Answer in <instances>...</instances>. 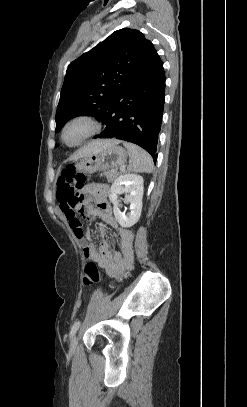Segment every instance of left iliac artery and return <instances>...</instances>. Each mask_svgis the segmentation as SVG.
Returning <instances> with one entry per match:
<instances>
[{"instance_id": "left-iliac-artery-1", "label": "left iliac artery", "mask_w": 247, "mask_h": 407, "mask_svg": "<svg viewBox=\"0 0 247 407\" xmlns=\"http://www.w3.org/2000/svg\"><path fill=\"white\" fill-rule=\"evenodd\" d=\"M79 326H80V321H76L74 324H73V326L71 327V330H70V337H72L75 333H76V331L78 330V328H79Z\"/></svg>"}]
</instances>
